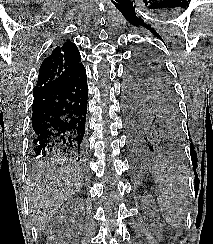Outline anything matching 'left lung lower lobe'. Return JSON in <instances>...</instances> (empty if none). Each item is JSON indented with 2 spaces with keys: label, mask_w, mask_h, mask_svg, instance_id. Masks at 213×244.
<instances>
[{
  "label": "left lung lower lobe",
  "mask_w": 213,
  "mask_h": 244,
  "mask_svg": "<svg viewBox=\"0 0 213 244\" xmlns=\"http://www.w3.org/2000/svg\"><path fill=\"white\" fill-rule=\"evenodd\" d=\"M124 122L128 148L134 157H145L157 150L163 142L156 129L139 114L124 107Z\"/></svg>",
  "instance_id": "obj_1"
}]
</instances>
